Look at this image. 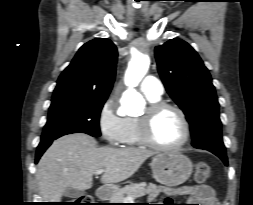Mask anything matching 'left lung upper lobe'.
Listing matches in <instances>:
<instances>
[{
	"label": "left lung upper lobe",
	"instance_id": "obj_1",
	"mask_svg": "<svg viewBox=\"0 0 253 205\" xmlns=\"http://www.w3.org/2000/svg\"><path fill=\"white\" fill-rule=\"evenodd\" d=\"M155 57L167 92L190 123L192 146L226 153L215 88L197 52L187 42L171 39L155 48Z\"/></svg>",
	"mask_w": 253,
	"mask_h": 205
}]
</instances>
